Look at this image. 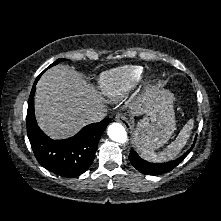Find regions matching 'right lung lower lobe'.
<instances>
[{
    "label": "right lung lower lobe",
    "mask_w": 221,
    "mask_h": 221,
    "mask_svg": "<svg viewBox=\"0 0 221 221\" xmlns=\"http://www.w3.org/2000/svg\"><path fill=\"white\" fill-rule=\"evenodd\" d=\"M39 77L32 87L27 110V135L33 153L39 164L47 170L67 178L79 176L91 165L99 139L110 119L105 118L99 123L89 124L69 139H50L38 127L35 119L34 92Z\"/></svg>",
    "instance_id": "obj_1"
}]
</instances>
